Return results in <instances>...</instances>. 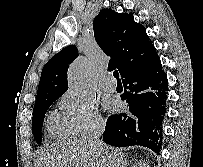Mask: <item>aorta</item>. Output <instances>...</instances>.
<instances>
[{"label": "aorta", "instance_id": "1", "mask_svg": "<svg viewBox=\"0 0 203 167\" xmlns=\"http://www.w3.org/2000/svg\"><path fill=\"white\" fill-rule=\"evenodd\" d=\"M91 66L87 58L80 57L74 61L68 71L69 89L76 95L85 96L89 92Z\"/></svg>", "mask_w": 203, "mask_h": 167}]
</instances>
